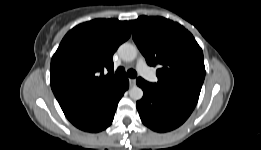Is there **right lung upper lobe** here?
Here are the masks:
<instances>
[{"instance_id": "1", "label": "right lung upper lobe", "mask_w": 261, "mask_h": 150, "mask_svg": "<svg viewBox=\"0 0 261 150\" xmlns=\"http://www.w3.org/2000/svg\"><path fill=\"white\" fill-rule=\"evenodd\" d=\"M131 35L128 21L95 19L79 24L61 41L50 66L51 88L72 119L106 99L122 85L112 57Z\"/></svg>"}]
</instances>
